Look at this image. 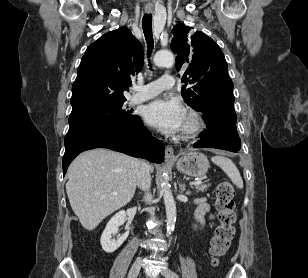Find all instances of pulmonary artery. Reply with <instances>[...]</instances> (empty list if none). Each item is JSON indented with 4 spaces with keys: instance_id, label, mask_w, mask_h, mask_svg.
Wrapping results in <instances>:
<instances>
[{
    "instance_id": "obj_1",
    "label": "pulmonary artery",
    "mask_w": 308,
    "mask_h": 278,
    "mask_svg": "<svg viewBox=\"0 0 308 278\" xmlns=\"http://www.w3.org/2000/svg\"><path fill=\"white\" fill-rule=\"evenodd\" d=\"M174 77L168 74L163 75L158 80L150 82L142 87H138L131 97V103L137 104L157 96L160 92L174 86Z\"/></svg>"
}]
</instances>
